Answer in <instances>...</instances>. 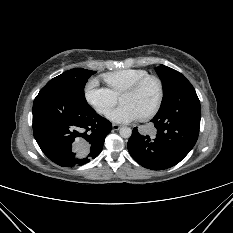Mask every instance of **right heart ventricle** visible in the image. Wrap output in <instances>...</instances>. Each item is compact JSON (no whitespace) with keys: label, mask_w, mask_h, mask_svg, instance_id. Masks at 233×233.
Instances as JSON below:
<instances>
[{"label":"right heart ventricle","mask_w":233,"mask_h":233,"mask_svg":"<svg viewBox=\"0 0 233 233\" xmlns=\"http://www.w3.org/2000/svg\"><path fill=\"white\" fill-rule=\"evenodd\" d=\"M149 75L144 69L130 68L109 72L102 75V79L116 96L123 92L128 86Z\"/></svg>","instance_id":"right-heart-ventricle-1"}]
</instances>
